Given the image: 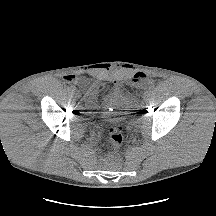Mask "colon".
I'll list each match as a JSON object with an SVG mask.
<instances>
[{
	"label": "colon",
	"mask_w": 216,
	"mask_h": 216,
	"mask_svg": "<svg viewBox=\"0 0 216 216\" xmlns=\"http://www.w3.org/2000/svg\"><path fill=\"white\" fill-rule=\"evenodd\" d=\"M108 140L109 144L117 148L119 147L124 140L123 129L121 126H112L108 131Z\"/></svg>",
	"instance_id": "colon-1"
}]
</instances>
